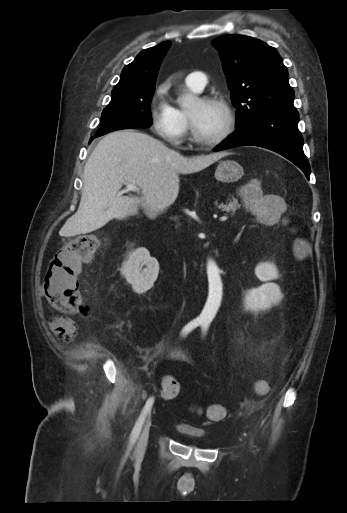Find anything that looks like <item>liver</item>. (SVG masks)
I'll list each match as a JSON object with an SVG mask.
<instances>
[{"instance_id":"6515ba94","label":"liver","mask_w":347,"mask_h":513,"mask_svg":"<svg viewBox=\"0 0 347 513\" xmlns=\"http://www.w3.org/2000/svg\"><path fill=\"white\" fill-rule=\"evenodd\" d=\"M229 152L186 158L159 140L138 131L119 130L104 136L84 167L83 191L77 212L59 231L60 236L86 234L112 219L122 220L142 207L155 218L174 203L179 193V174L198 172ZM130 183L141 196H123L119 190Z\"/></svg>"}]
</instances>
